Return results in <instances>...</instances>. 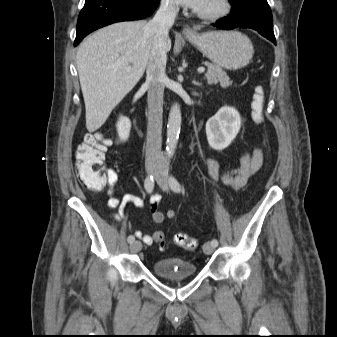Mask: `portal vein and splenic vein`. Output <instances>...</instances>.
<instances>
[{
    "mask_svg": "<svg viewBox=\"0 0 337 337\" xmlns=\"http://www.w3.org/2000/svg\"><path fill=\"white\" fill-rule=\"evenodd\" d=\"M127 69L130 70L131 67H128ZM198 72H199V73H204V72H205V68H204V67L198 68Z\"/></svg>",
    "mask_w": 337,
    "mask_h": 337,
    "instance_id": "portal-vein-and-splenic-vein-1",
    "label": "portal vein and splenic vein"
}]
</instances>
